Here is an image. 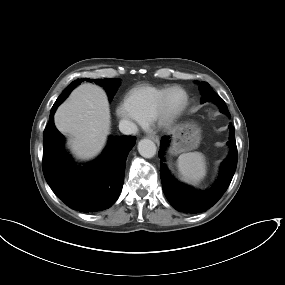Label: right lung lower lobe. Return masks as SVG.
<instances>
[{
    "mask_svg": "<svg viewBox=\"0 0 285 285\" xmlns=\"http://www.w3.org/2000/svg\"><path fill=\"white\" fill-rule=\"evenodd\" d=\"M72 89L54 103L43 134L44 177L53 192L71 209L84 213L111 207L124 183L126 158L135 145L133 136L109 137L103 155L96 160L76 165L64 149V137L56 129L53 115Z\"/></svg>",
    "mask_w": 285,
    "mask_h": 285,
    "instance_id": "1",
    "label": "right lung lower lobe"
}]
</instances>
